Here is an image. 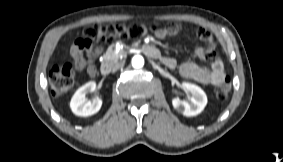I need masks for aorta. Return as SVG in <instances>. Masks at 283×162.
<instances>
[{
	"mask_svg": "<svg viewBox=\"0 0 283 162\" xmlns=\"http://www.w3.org/2000/svg\"><path fill=\"white\" fill-rule=\"evenodd\" d=\"M131 63L134 68H141L144 66V58L141 55H135Z\"/></svg>",
	"mask_w": 283,
	"mask_h": 162,
	"instance_id": "obj_1",
	"label": "aorta"
}]
</instances>
